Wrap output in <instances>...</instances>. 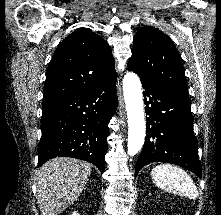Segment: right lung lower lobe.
Masks as SVG:
<instances>
[{"label":"right lung lower lobe","instance_id":"right-lung-lower-lobe-1","mask_svg":"<svg viewBox=\"0 0 221 215\" xmlns=\"http://www.w3.org/2000/svg\"><path fill=\"white\" fill-rule=\"evenodd\" d=\"M117 104L116 78L65 102L42 108L38 167L55 157H74L105 169L108 123Z\"/></svg>","mask_w":221,"mask_h":215}]
</instances>
